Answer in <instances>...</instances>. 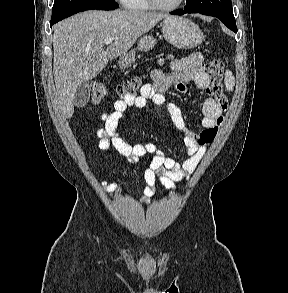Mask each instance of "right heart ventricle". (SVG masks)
<instances>
[{
    "mask_svg": "<svg viewBox=\"0 0 288 293\" xmlns=\"http://www.w3.org/2000/svg\"><path fill=\"white\" fill-rule=\"evenodd\" d=\"M123 4L130 10L146 11L151 9V6L147 0H125Z\"/></svg>",
    "mask_w": 288,
    "mask_h": 293,
    "instance_id": "e07e8e85",
    "label": "right heart ventricle"
}]
</instances>
